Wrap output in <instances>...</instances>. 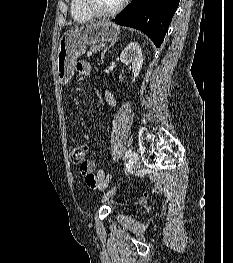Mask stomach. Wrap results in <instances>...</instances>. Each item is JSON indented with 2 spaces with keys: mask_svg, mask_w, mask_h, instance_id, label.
<instances>
[{
  "mask_svg": "<svg viewBox=\"0 0 233 263\" xmlns=\"http://www.w3.org/2000/svg\"><path fill=\"white\" fill-rule=\"evenodd\" d=\"M119 33V26L108 20L65 32L60 38L56 59L59 83L66 84L71 79L76 60L85 53L87 45L114 40Z\"/></svg>",
  "mask_w": 233,
  "mask_h": 263,
  "instance_id": "0dacf381",
  "label": "stomach"
}]
</instances>
